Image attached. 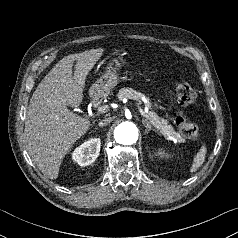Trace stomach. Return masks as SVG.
I'll list each match as a JSON object with an SVG mask.
<instances>
[{
  "mask_svg": "<svg viewBox=\"0 0 238 238\" xmlns=\"http://www.w3.org/2000/svg\"><path fill=\"white\" fill-rule=\"evenodd\" d=\"M124 64L123 57L112 58L107 64L106 73L90 87V95L96 98L110 93L119 83V70Z\"/></svg>",
  "mask_w": 238,
  "mask_h": 238,
  "instance_id": "0dacf381",
  "label": "stomach"
}]
</instances>
